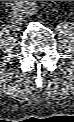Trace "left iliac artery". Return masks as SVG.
I'll use <instances>...</instances> for the list:
<instances>
[{
  "label": "left iliac artery",
  "mask_w": 74,
  "mask_h": 122,
  "mask_svg": "<svg viewBox=\"0 0 74 122\" xmlns=\"http://www.w3.org/2000/svg\"><path fill=\"white\" fill-rule=\"evenodd\" d=\"M35 11H36V7L30 4L27 12L30 14H33V13H35Z\"/></svg>",
  "instance_id": "left-iliac-artery-1"
}]
</instances>
